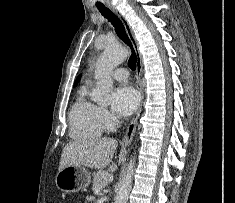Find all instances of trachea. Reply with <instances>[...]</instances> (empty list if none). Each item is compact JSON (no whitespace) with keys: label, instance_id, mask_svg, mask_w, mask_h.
<instances>
[{"label":"trachea","instance_id":"trachea-1","mask_svg":"<svg viewBox=\"0 0 235 203\" xmlns=\"http://www.w3.org/2000/svg\"><path fill=\"white\" fill-rule=\"evenodd\" d=\"M96 6H97L98 10L100 11V13L105 18H107L108 21L111 22V24L114 26L115 31H116L117 35L121 38V40L131 48L132 54L129 58L128 66L132 70H135L136 69V54L133 49L132 43L126 33V30H125V27H124L122 21L114 13H112L108 8H106L104 5L96 4Z\"/></svg>","mask_w":235,"mask_h":203}]
</instances>
